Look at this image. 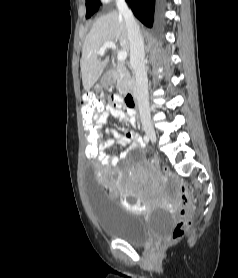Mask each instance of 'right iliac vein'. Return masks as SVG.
Segmentation results:
<instances>
[{
    "mask_svg": "<svg viewBox=\"0 0 238 278\" xmlns=\"http://www.w3.org/2000/svg\"><path fill=\"white\" fill-rule=\"evenodd\" d=\"M144 130H145L147 136L150 138V140L152 142H156L157 137H156L154 128L150 125H146V126H144Z\"/></svg>",
    "mask_w": 238,
    "mask_h": 278,
    "instance_id": "right-iliac-vein-1",
    "label": "right iliac vein"
}]
</instances>
